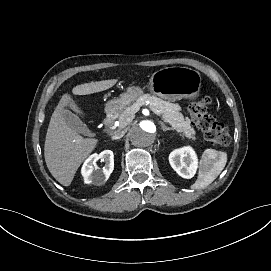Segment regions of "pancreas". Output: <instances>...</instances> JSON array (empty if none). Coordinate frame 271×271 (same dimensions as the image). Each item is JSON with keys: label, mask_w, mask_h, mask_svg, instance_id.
<instances>
[{"label": "pancreas", "mask_w": 271, "mask_h": 271, "mask_svg": "<svg viewBox=\"0 0 271 271\" xmlns=\"http://www.w3.org/2000/svg\"><path fill=\"white\" fill-rule=\"evenodd\" d=\"M141 103L144 106H147L150 103V106L154 109L159 110L162 113L163 119L170 123L177 132L183 134V136L191 141H196V131L190 125V120L188 118H184V116L177 111L178 107L175 104H170L162 99L155 98L153 96L144 97L141 100ZM137 109L135 107L127 109L121 117L118 119L119 128H124L128 123L132 121L135 116Z\"/></svg>", "instance_id": "pancreas-1"}]
</instances>
